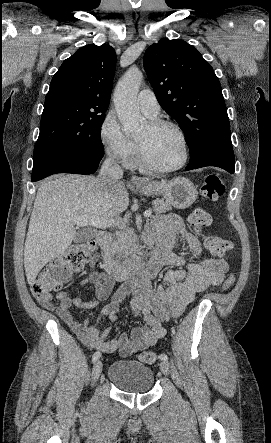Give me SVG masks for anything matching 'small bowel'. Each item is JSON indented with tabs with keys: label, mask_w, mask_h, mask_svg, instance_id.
Instances as JSON below:
<instances>
[{
	"label": "small bowel",
	"mask_w": 271,
	"mask_h": 443,
	"mask_svg": "<svg viewBox=\"0 0 271 443\" xmlns=\"http://www.w3.org/2000/svg\"><path fill=\"white\" fill-rule=\"evenodd\" d=\"M152 238L159 239L160 249L147 269L130 285L122 287L113 295L111 301L102 308L95 323H90L88 319L79 321L70 312V308L75 306L83 310L93 309L99 302L106 300L111 294L113 280L105 273L93 270L81 281L82 286H94L93 300L82 301L79 297H69L62 291L57 294L58 305L54 304L51 295L38 299L39 303L45 309L55 311L75 332L79 341L90 349L104 353L118 352L122 357L144 351L166 336L165 322L180 317L198 293L220 285L228 269L224 259L203 256L200 240L186 229L177 215L167 216L152 234ZM178 238L197 261L186 262L174 252ZM184 264L186 269H171L165 273L160 284L156 287L152 285V279L162 266ZM127 295L133 296L130 304L132 315L142 318L143 323L133 328L130 334H121L118 338L108 340L109 329H101L100 323L104 319L111 322L117 319L119 304Z\"/></svg>",
	"instance_id": "obj_1"
}]
</instances>
